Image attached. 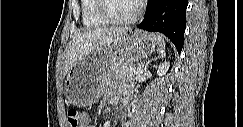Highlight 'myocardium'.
I'll use <instances>...</instances> for the list:
<instances>
[{"instance_id":"1","label":"myocardium","mask_w":243,"mask_h":127,"mask_svg":"<svg viewBox=\"0 0 243 127\" xmlns=\"http://www.w3.org/2000/svg\"><path fill=\"white\" fill-rule=\"evenodd\" d=\"M106 0H97V7L99 15L110 24H129L133 23L141 16L143 11V4L141 1H136V8L132 15L125 18H118L112 16L106 7Z\"/></svg>"}]
</instances>
